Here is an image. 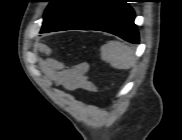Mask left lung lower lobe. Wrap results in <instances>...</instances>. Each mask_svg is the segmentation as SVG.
Segmentation results:
<instances>
[{
    "label": "left lung lower lobe",
    "instance_id": "obj_1",
    "mask_svg": "<svg viewBox=\"0 0 182 140\" xmlns=\"http://www.w3.org/2000/svg\"><path fill=\"white\" fill-rule=\"evenodd\" d=\"M134 17L135 13L126 0H106L69 29L105 31L131 43H139Z\"/></svg>",
    "mask_w": 182,
    "mask_h": 140
}]
</instances>
